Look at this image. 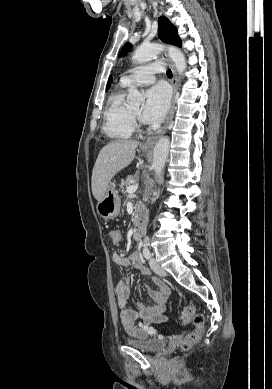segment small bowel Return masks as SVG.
<instances>
[{"mask_svg": "<svg viewBox=\"0 0 272 389\" xmlns=\"http://www.w3.org/2000/svg\"><path fill=\"white\" fill-rule=\"evenodd\" d=\"M112 258L116 264L122 266H127L132 262L142 275H151V272L143 266L137 253L133 254L130 258L124 257L119 253H114ZM152 279L157 285V289L147 288V292L153 301L150 305L138 302L136 303L135 308H129L127 306V300L130 294L128 279L119 280L115 287L122 325L125 331L135 338L145 339L154 335L156 330L152 325L166 321V317L163 313L166 309V302L170 290L165 282L159 277L153 276Z\"/></svg>", "mask_w": 272, "mask_h": 389, "instance_id": "c3829d8e", "label": "small bowel"}]
</instances>
